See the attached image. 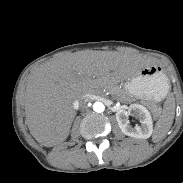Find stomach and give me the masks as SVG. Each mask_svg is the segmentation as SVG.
<instances>
[{
  "mask_svg": "<svg viewBox=\"0 0 183 183\" xmlns=\"http://www.w3.org/2000/svg\"><path fill=\"white\" fill-rule=\"evenodd\" d=\"M168 84V78L161 69L148 66L125 79L123 88L132 96L157 102L166 96Z\"/></svg>",
  "mask_w": 183,
  "mask_h": 183,
  "instance_id": "obj_1",
  "label": "stomach"
}]
</instances>
